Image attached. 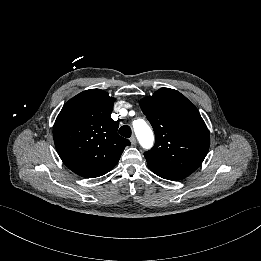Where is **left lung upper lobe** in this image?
Masks as SVG:
<instances>
[{
  "mask_svg": "<svg viewBox=\"0 0 261 261\" xmlns=\"http://www.w3.org/2000/svg\"><path fill=\"white\" fill-rule=\"evenodd\" d=\"M155 131V145L145 152L149 166L189 176L204 160L209 131L197 108L180 92L161 88L140 101Z\"/></svg>",
  "mask_w": 261,
  "mask_h": 261,
  "instance_id": "5c2ea615",
  "label": "left lung upper lobe"
}]
</instances>
